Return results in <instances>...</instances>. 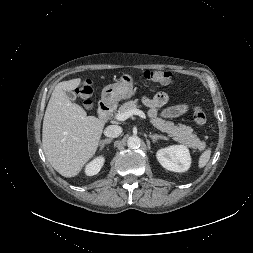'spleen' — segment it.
<instances>
[{
  "instance_id": "spleen-1",
  "label": "spleen",
  "mask_w": 253,
  "mask_h": 253,
  "mask_svg": "<svg viewBox=\"0 0 253 253\" xmlns=\"http://www.w3.org/2000/svg\"><path fill=\"white\" fill-rule=\"evenodd\" d=\"M211 156V148L206 149L199 158V167L203 168L208 163Z\"/></svg>"
}]
</instances>
